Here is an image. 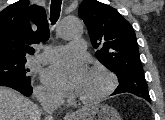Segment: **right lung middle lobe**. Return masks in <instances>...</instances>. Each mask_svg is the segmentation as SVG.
Masks as SVG:
<instances>
[{"mask_svg": "<svg viewBox=\"0 0 165 120\" xmlns=\"http://www.w3.org/2000/svg\"><path fill=\"white\" fill-rule=\"evenodd\" d=\"M26 58H14L0 60V80H15L31 83L27 76L29 69L25 68Z\"/></svg>", "mask_w": 165, "mask_h": 120, "instance_id": "obj_1", "label": "right lung middle lobe"}]
</instances>
